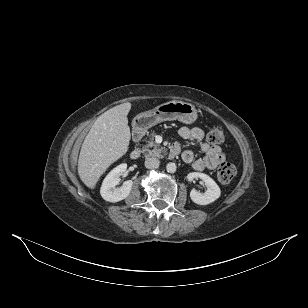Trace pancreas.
<instances>
[{
    "label": "pancreas",
    "instance_id": "obj_1",
    "mask_svg": "<svg viewBox=\"0 0 308 308\" xmlns=\"http://www.w3.org/2000/svg\"><path fill=\"white\" fill-rule=\"evenodd\" d=\"M163 151L164 149L160 147L157 143H155L153 140L148 141V143L142 147V153L146 157H163Z\"/></svg>",
    "mask_w": 308,
    "mask_h": 308
}]
</instances>
